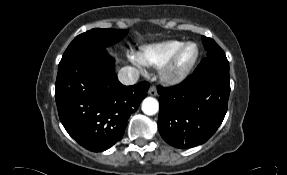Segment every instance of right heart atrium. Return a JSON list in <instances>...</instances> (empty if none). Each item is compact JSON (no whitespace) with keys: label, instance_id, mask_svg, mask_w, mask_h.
<instances>
[{"label":"right heart atrium","instance_id":"d8ad5b80","mask_svg":"<svg viewBox=\"0 0 287 175\" xmlns=\"http://www.w3.org/2000/svg\"><path fill=\"white\" fill-rule=\"evenodd\" d=\"M129 57H130L131 61H132L135 65H137L138 67H142V63H141V61H140V59H139V55H138V54L131 53V54L129 55Z\"/></svg>","mask_w":287,"mask_h":175}]
</instances>
